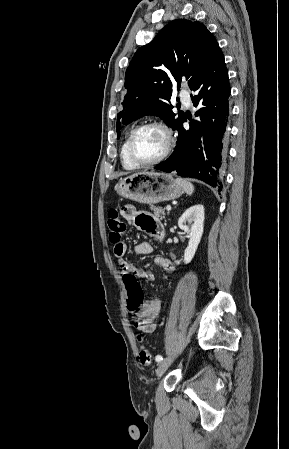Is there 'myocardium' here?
<instances>
[{
  "instance_id": "myocardium-1",
  "label": "myocardium",
  "mask_w": 289,
  "mask_h": 449,
  "mask_svg": "<svg viewBox=\"0 0 289 449\" xmlns=\"http://www.w3.org/2000/svg\"><path fill=\"white\" fill-rule=\"evenodd\" d=\"M146 128H157L159 129L165 138V146L163 152L155 159L148 161V162H142L139 161L134 154V140L137 136V134L146 129ZM174 143V135L172 129L163 121L161 120H149L146 121L140 125H138L130 134L129 141H128V153L131 161L140 167H147L155 165L161 161H163L171 152L172 147Z\"/></svg>"
}]
</instances>
